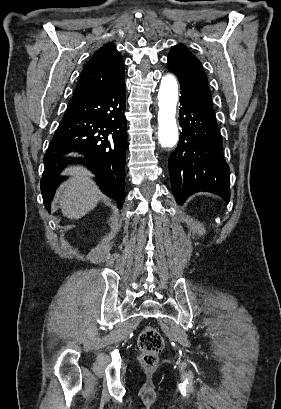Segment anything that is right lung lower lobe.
I'll return each mask as SVG.
<instances>
[{"label":"right lung lower lobe","mask_w":281,"mask_h":409,"mask_svg":"<svg viewBox=\"0 0 281 409\" xmlns=\"http://www.w3.org/2000/svg\"><path fill=\"white\" fill-rule=\"evenodd\" d=\"M125 82L122 78L110 89L91 97L71 99L44 156L41 179L43 202L48 211L55 193V182L64 167L72 163L61 159L78 151L95 175L101 190L122 208L125 200L126 156Z\"/></svg>","instance_id":"right-lung-lower-lobe-1"}]
</instances>
